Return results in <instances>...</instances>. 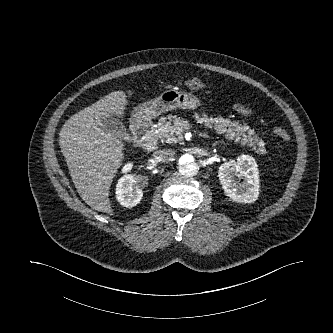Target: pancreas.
<instances>
[{
	"label": "pancreas",
	"instance_id": "cf45deb5",
	"mask_svg": "<svg viewBox=\"0 0 333 333\" xmlns=\"http://www.w3.org/2000/svg\"><path fill=\"white\" fill-rule=\"evenodd\" d=\"M194 117L198 123L204 124L205 127L214 128L219 133L225 134L227 139H235L242 146L251 147L257 154L264 153L261 141L254 130L249 129L247 125H242L238 121L223 119L222 117H208L206 114L202 117L195 114ZM181 121L180 118L172 117L171 115L162 117L158 122V136L165 139L167 143L180 141L183 138L182 134L188 129L179 125Z\"/></svg>",
	"mask_w": 333,
	"mask_h": 333
}]
</instances>
